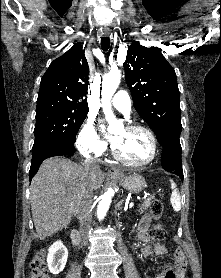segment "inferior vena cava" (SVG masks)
Returning <instances> with one entry per match:
<instances>
[{
  "label": "inferior vena cava",
  "mask_w": 221,
  "mask_h": 278,
  "mask_svg": "<svg viewBox=\"0 0 221 278\" xmlns=\"http://www.w3.org/2000/svg\"><path fill=\"white\" fill-rule=\"evenodd\" d=\"M84 168L87 172L88 178L100 171V167L96 159H86L84 161ZM92 197L93 188L90 183H86L83 187L80 202L77 207L78 219L80 222V231L83 236H86L88 234L92 223Z\"/></svg>",
  "instance_id": "602c4592"
}]
</instances>
